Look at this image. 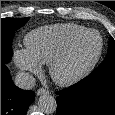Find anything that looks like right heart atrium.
I'll list each match as a JSON object with an SVG mask.
<instances>
[{
  "mask_svg": "<svg viewBox=\"0 0 115 115\" xmlns=\"http://www.w3.org/2000/svg\"><path fill=\"white\" fill-rule=\"evenodd\" d=\"M14 62L26 74L38 75L41 65L31 56L27 49H17L14 52Z\"/></svg>",
  "mask_w": 115,
  "mask_h": 115,
  "instance_id": "obj_1",
  "label": "right heart atrium"
}]
</instances>
